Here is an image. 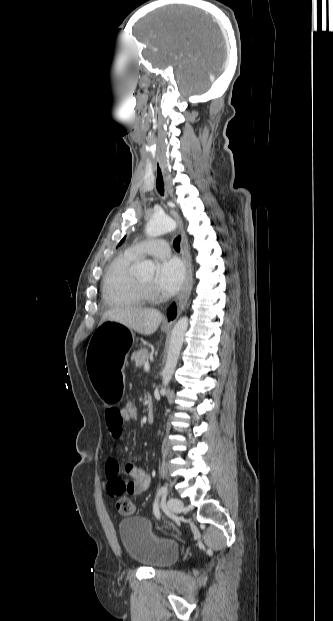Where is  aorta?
<instances>
[{"mask_svg":"<svg viewBox=\"0 0 333 621\" xmlns=\"http://www.w3.org/2000/svg\"><path fill=\"white\" fill-rule=\"evenodd\" d=\"M175 227V221L171 217L167 215H155L148 221L145 232L146 235L149 237H157L167 232L173 231ZM136 271L139 276L152 277L155 272V265L152 261H143L138 265ZM187 328L188 318L184 316L176 322L172 330L166 363L162 372V383L164 386H167L169 384L177 366L180 350L184 341Z\"/></svg>","mask_w":333,"mask_h":621,"instance_id":"aorta-1","label":"aorta"}]
</instances>
